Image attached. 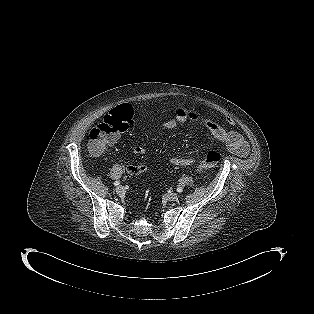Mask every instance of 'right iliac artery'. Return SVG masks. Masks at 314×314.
<instances>
[{
  "label": "right iliac artery",
  "mask_w": 314,
  "mask_h": 314,
  "mask_svg": "<svg viewBox=\"0 0 314 314\" xmlns=\"http://www.w3.org/2000/svg\"><path fill=\"white\" fill-rule=\"evenodd\" d=\"M119 184H120L119 181H115V182H114V185H115V186H118Z\"/></svg>",
  "instance_id": "1"
}]
</instances>
